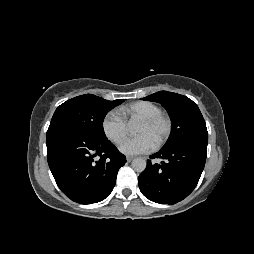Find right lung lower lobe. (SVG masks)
Masks as SVG:
<instances>
[{
    "label": "right lung lower lobe",
    "instance_id": "98d812e1",
    "mask_svg": "<svg viewBox=\"0 0 254 254\" xmlns=\"http://www.w3.org/2000/svg\"><path fill=\"white\" fill-rule=\"evenodd\" d=\"M47 160L61 191L72 201L92 204L113 190L126 157L106 138L64 124L50 125Z\"/></svg>",
    "mask_w": 254,
    "mask_h": 254
}]
</instances>
